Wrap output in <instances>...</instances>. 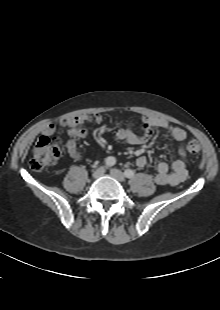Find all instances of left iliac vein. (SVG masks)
<instances>
[{
    "label": "left iliac vein",
    "mask_w": 220,
    "mask_h": 310,
    "mask_svg": "<svg viewBox=\"0 0 220 310\" xmlns=\"http://www.w3.org/2000/svg\"><path fill=\"white\" fill-rule=\"evenodd\" d=\"M110 174H111V176L112 177H114L115 179H117L118 181H124L125 180V175H124V173H122L120 170H118V169H115V168H113V169H111L110 170Z\"/></svg>",
    "instance_id": "4c4485c4"
}]
</instances>
